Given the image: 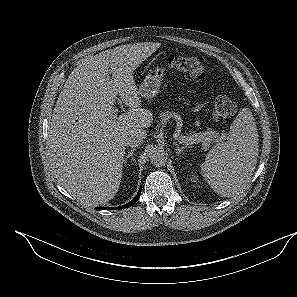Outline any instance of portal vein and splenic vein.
<instances>
[{"instance_id":"obj_1","label":"portal vein and splenic vein","mask_w":297,"mask_h":297,"mask_svg":"<svg viewBox=\"0 0 297 297\" xmlns=\"http://www.w3.org/2000/svg\"><path fill=\"white\" fill-rule=\"evenodd\" d=\"M115 112L118 113V109H115ZM192 141H193L192 138H187V139L181 138L180 139V142L181 143H184V144H192ZM204 148L206 149L207 148V145H205Z\"/></svg>"}]
</instances>
